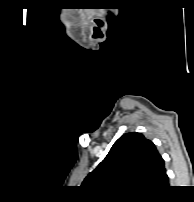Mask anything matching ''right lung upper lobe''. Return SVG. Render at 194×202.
Instances as JSON below:
<instances>
[{
	"mask_svg": "<svg viewBox=\"0 0 194 202\" xmlns=\"http://www.w3.org/2000/svg\"><path fill=\"white\" fill-rule=\"evenodd\" d=\"M167 185L163 158L152 141L136 132L121 136L82 183L99 195L131 197L154 196Z\"/></svg>",
	"mask_w": 194,
	"mask_h": 202,
	"instance_id": "cb5924a9",
	"label": "right lung upper lobe"
}]
</instances>
